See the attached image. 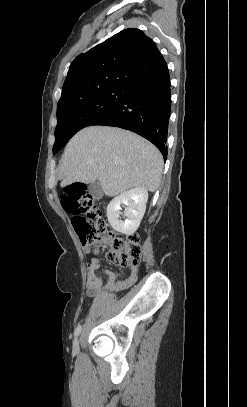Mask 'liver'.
I'll use <instances>...</instances> for the list:
<instances>
[{
	"label": "liver",
	"instance_id": "liver-1",
	"mask_svg": "<svg viewBox=\"0 0 247 407\" xmlns=\"http://www.w3.org/2000/svg\"><path fill=\"white\" fill-rule=\"evenodd\" d=\"M163 157L149 141L130 131L90 126L68 142L59 166L61 187L99 181L110 197L130 188L157 190Z\"/></svg>",
	"mask_w": 247,
	"mask_h": 407
}]
</instances>
